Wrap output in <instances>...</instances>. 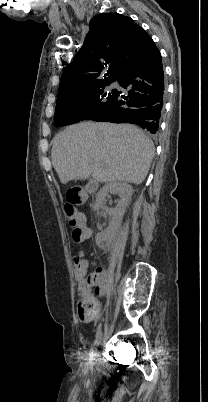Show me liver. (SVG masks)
<instances>
[{
  "instance_id": "6515ba94",
  "label": "liver",
  "mask_w": 208,
  "mask_h": 402,
  "mask_svg": "<svg viewBox=\"0 0 208 402\" xmlns=\"http://www.w3.org/2000/svg\"><path fill=\"white\" fill-rule=\"evenodd\" d=\"M154 146L132 124L68 126L53 140L51 158L61 184L70 180L142 184L153 158Z\"/></svg>"
}]
</instances>
